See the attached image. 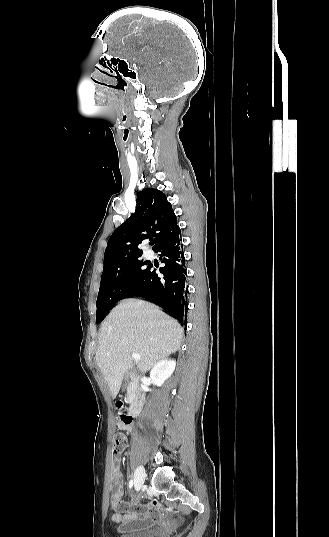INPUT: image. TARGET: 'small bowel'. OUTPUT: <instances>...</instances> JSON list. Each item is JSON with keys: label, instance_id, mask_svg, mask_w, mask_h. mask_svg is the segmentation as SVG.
Instances as JSON below:
<instances>
[{"label": "small bowel", "instance_id": "obj_1", "mask_svg": "<svg viewBox=\"0 0 329 537\" xmlns=\"http://www.w3.org/2000/svg\"><path fill=\"white\" fill-rule=\"evenodd\" d=\"M120 429L126 432L132 431V424H124L121 421L117 423ZM115 467H119L121 459L114 457ZM123 497V481L119 474L113 479V488L110 496V504L113 509L112 519L121 523L122 532L141 530L151 526L154 522L162 518V512L159 502L151 499L149 503L127 502ZM124 511V514L120 512Z\"/></svg>", "mask_w": 329, "mask_h": 537}]
</instances>
